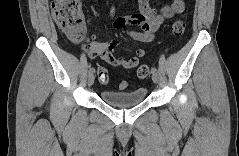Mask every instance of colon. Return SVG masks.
Wrapping results in <instances>:
<instances>
[{
    "label": "colon",
    "mask_w": 239,
    "mask_h": 156,
    "mask_svg": "<svg viewBox=\"0 0 239 156\" xmlns=\"http://www.w3.org/2000/svg\"><path fill=\"white\" fill-rule=\"evenodd\" d=\"M53 17L65 35L67 41L71 44H81L86 39V31L84 26V17L81 4L77 0H56L52 3ZM185 31V23L182 20H176L172 26V32L175 36L183 35ZM150 69L147 65H141L137 69V76L141 79L148 77ZM98 79L102 83L109 80L108 71L105 67L100 66L97 69ZM127 87L126 81L119 83L120 89Z\"/></svg>",
    "instance_id": "5ec220e1"
}]
</instances>
